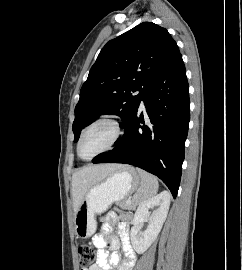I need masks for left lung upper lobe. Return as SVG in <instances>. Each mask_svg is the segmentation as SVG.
Instances as JSON below:
<instances>
[{
  "mask_svg": "<svg viewBox=\"0 0 242 270\" xmlns=\"http://www.w3.org/2000/svg\"><path fill=\"white\" fill-rule=\"evenodd\" d=\"M180 55L168 31L150 22L106 43L80 91L72 128L74 142L81 130L102 114L120 116V127L125 129L147 88ZM136 91L139 94L133 96Z\"/></svg>",
  "mask_w": 242,
  "mask_h": 270,
  "instance_id": "1",
  "label": "left lung upper lobe"
}]
</instances>
